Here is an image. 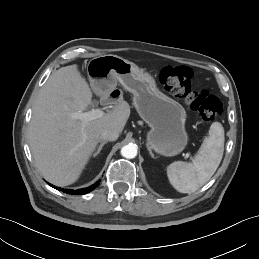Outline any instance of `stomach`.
Instances as JSON below:
<instances>
[{
    "label": "stomach",
    "instance_id": "1",
    "mask_svg": "<svg viewBox=\"0 0 259 259\" xmlns=\"http://www.w3.org/2000/svg\"><path fill=\"white\" fill-rule=\"evenodd\" d=\"M87 74L97 93L111 91L118 82L132 93L135 109L151 128L147 133L149 149L164 156L183 151L188 142L186 111L157 88L148 72L117 55H103L89 61Z\"/></svg>",
    "mask_w": 259,
    "mask_h": 259
}]
</instances>
